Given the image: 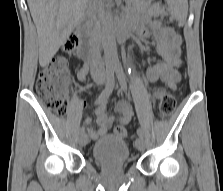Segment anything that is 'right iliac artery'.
I'll return each mask as SVG.
<instances>
[{
  "instance_id": "right-iliac-artery-1",
  "label": "right iliac artery",
  "mask_w": 223,
  "mask_h": 191,
  "mask_svg": "<svg viewBox=\"0 0 223 191\" xmlns=\"http://www.w3.org/2000/svg\"><path fill=\"white\" fill-rule=\"evenodd\" d=\"M115 85L114 79V68L109 66L106 68V85L101 94L99 95L98 101L103 99H108L110 94L112 93ZM80 132H84V128L80 129Z\"/></svg>"
}]
</instances>
